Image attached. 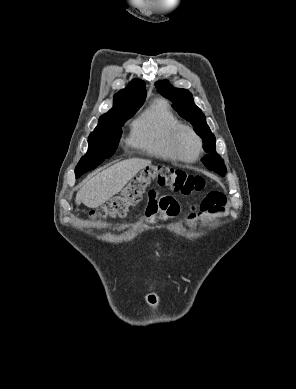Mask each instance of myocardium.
Segmentation results:
<instances>
[{
  "instance_id": "myocardium-1",
  "label": "myocardium",
  "mask_w": 296,
  "mask_h": 389,
  "mask_svg": "<svg viewBox=\"0 0 296 389\" xmlns=\"http://www.w3.org/2000/svg\"><path fill=\"white\" fill-rule=\"evenodd\" d=\"M184 134L190 135L196 143L197 150L194 157L187 158L182 154L180 142ZM169 145L175 158L187 163H193L197 161L203 151V141L200 135L193 127L184 124H180L173 129L170 135Z\"/></svg>"
}]
</instances>
